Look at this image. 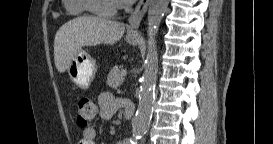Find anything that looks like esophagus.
Masks as SVG:
<instances>
[{
	"label": "esophagus",
	"instance_id": "1",
	"mask_svg": "<svg viewBox=\"0 0 273 144\" xmlns=\"http://www.w3.org/2000/svg\"><path fill=\"white\" fill-rule=\"evenodd\" d=\"M150 0H140L133 11V13L129 17V27L128 34L129 35H138V28L141 20L143 19Z\"/></svg>",
	"mask_w": 273,
	"mask_h": 144
}]
</instances>
